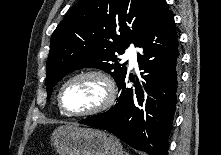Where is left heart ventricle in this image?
<instances>
[{"label":"left heart ventricle","instance_id":"1","mask_svg":"<svg viewBox=\"0 0 221 155\" xmlns=\"http://www.w3.org/2000/svg\"><path fill=\"white\" fill-rule=\"evenodd\" d=\"M104 97V87L95 78H82L69 84L63 92L65 108L71 112H83L97 106Z\"/></svg>","mask_w":221,"mask_h":155}]
</instances>
